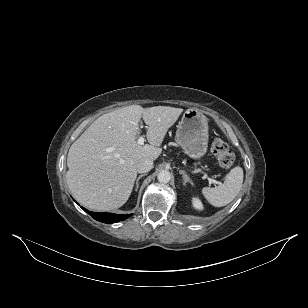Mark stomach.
I'll return each mask as SVG.
<instances>
[{"label":"stomach","instance_id":"stomach-1","mask_svg":"<svg viewBox=\"0 0 308 308\" xmlns=\"http://www.w3.org/2000/svg\"><path fill=\"white\" fill-rule=\"evenodd\" d=\"M208 130L207 117L197 109H188L178 123L177 143L189 157L200 159L207 152Z\"/></svg>","mask_w":308,"mask_h":308}]
</instances>
